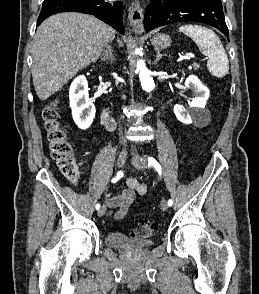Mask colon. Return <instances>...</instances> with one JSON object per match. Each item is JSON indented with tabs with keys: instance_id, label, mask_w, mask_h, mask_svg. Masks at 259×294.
<instances>
[{
	"instance_id": "5ec220e1",
	"label": "colon",
	"mask_w": 259,
	"mask_h": 294,
	"mask_svg": "<svg viewBox=\"0 0 259 294\" xmlns=\"http://www.w3.org/2000/svg\"><path fill=\"white\" fill-rule=\"evenodd\" d=\"M43 121L50 144L52 157L56 160L63 175L73 184L78 182V167L73 157V146L59 120L56 102H52L43 110ZM155 224H140L134 231L137 237L148 238L155 234Z\"/></svg>"
}]
</instances>
